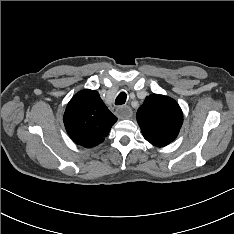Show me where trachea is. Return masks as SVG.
<instances>
[{"label":"trachea","mask_w":234,"mask_h":234,"mask_svg":"<svg viewBox=\"0 0 234 234\" xmlns=\"http://www.w3.org/2000/svg\"><path fill=\"white\" fill-rule=\"evenodd\" d=\"M126 98H127L126 93H125V92H121V93L117 96V98H116V100H115V105H122V104H124V103L126 102Z\"/></svg>","instance_id":"trachea-1"}]
</instances>
